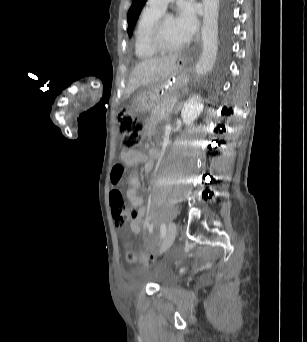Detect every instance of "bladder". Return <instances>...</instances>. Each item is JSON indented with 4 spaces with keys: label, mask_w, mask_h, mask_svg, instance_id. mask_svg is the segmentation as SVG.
I'll use <instances>...</instances> for the list:
<instances>
[{
    "label": "bladder",
    "mask_w": 307,
    "mask_h": 342,
    "mask_svg": "<svg viewBox=\"0 0 307 342\" xmlns=\"http://www.w3.org/2000/svg\"><path fill=\"white\" fill-rule=\"evenodd\" d=\"M171 282H172V277L171 276L159 277L158 280H157V283L160 286H162V287L171 284Z\"/></svg>",
    "instance_id": "31cf9c89"
}]
</instances>
